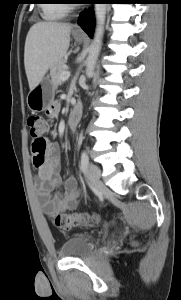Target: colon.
Listing matches in <instances>:
<instances>
[{"mask_svg": "<svg viewBox=\"0 0 181 300\" xmlns=\"http://www.w3.org/2000/svg\"><path fill=\"white\" fill-rule=\"evenodd\" d=\"M29 133L32 137V151L42 154L47 148V140L44 137L45 132L50 128V121L40 115L30 116L27 120ZM98 216L78 213H63L53 217L52 222L56 228L70 229L75 226L89 223H97Z\"/></svg>", "mask_w": 181, "mask_h": 300, "instance_id": "obj_1", "label": "colon"}]
</instances>
